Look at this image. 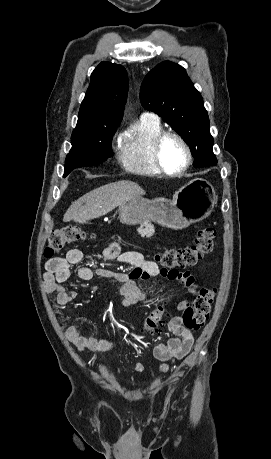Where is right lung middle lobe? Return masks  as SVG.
Wrapping results in <instances>:
<instances>
[{
	"instance_id": "right-lung-middle-lobe-1",
	"label": "right lung middle lobe",
	"mask_w": 271,
	"mask_h": 459,
	"mask_svg": "<svg viewBox=\"0 0 271 459\" xmlns=\"http://www.w3.org/2000/svg\"><path fill=\"white\" fill-rule=\"evenodd\" d=\"M120 121L115 118L78 119L71 136L72 148L66 157L64 177L75 168L94 166L111 157V141Z\"/></svg>"
}]
</instances>
